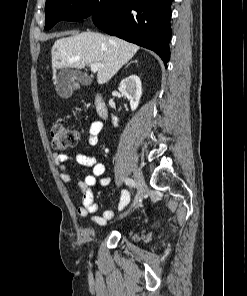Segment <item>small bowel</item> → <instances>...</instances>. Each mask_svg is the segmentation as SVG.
<instances>
[{
    "mask_svg": "<svg viewBox=\"0 0 247 296\" xmlns=\"http://www.w3.org/2000/svg\"><path fill=\"white\" fill-rule=\"evenodd\" d=\"M103 125L100 121L91 123L88 132V142L91 146L99 144V135L102 131ZM53 159L58 167L60 177L65 183H74L80 188L81 202L78 206L77 213L82 217H86L95 213L98 210V204L94 202L93 187L97 184L101 187H107L111 183V178L104 176L105 167L94 156L84 154H76L74 158L66 154H53ZM74 160L77 164L85 167H90L91 172L85 176L78 173H71L68 169L67 163ZM131 200V194L128 190L124 189L121 192L118 202V212L125 210ZM115 213L112 210H105L102 216H93L92 220L99 225H104L107 220L111 219Z\"/></svg>",
    "mask_w": 247,
    "mask_h": 296,
    "instance_id": "obj_1",
    "label": "small bowel"
}]
</instances>
